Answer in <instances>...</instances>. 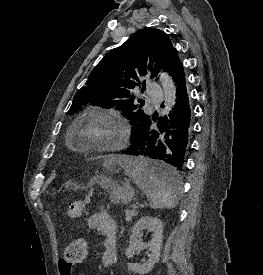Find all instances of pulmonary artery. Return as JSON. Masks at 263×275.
<instances>
[{
  "label": "pulmonary artery",
  "instance_id": "e3ab8cb5",
  "mask_svg": "<svg viewBox=\"0 0 263 275\" xmlns=\"http://www.w3.org/2000/svg\"><path fill=\"white\" fill-rule=\"evenodd\" d=\"M147 95H148V98L151 101H153L155 104H158L159 102H161L163 98L161 88L155 83H150L147 86Z\"/></svg>",
  "mask_w": 263,
  "mask_h": 275
}]
</instances>
